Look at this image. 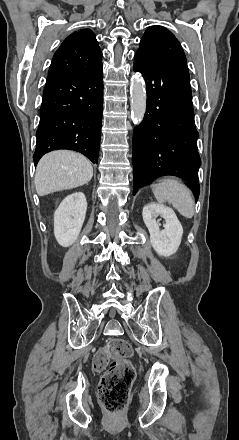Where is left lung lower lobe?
I'll return each mask as SVG.
<instances>
[{
  "label": "left lung lower lobe",
  "mask_w": 239,
  "mask_h": 440,
  "mask_svg": "<svg viewBox=\"0 0 239 440\" xmlns=\"http://www.w3.org/2000/svg\"><path fill=\"white\" fill-rule=\"evenodd\" d=\"M133 69L144 74L147 89L144 121L133 134V194L145 181L173 175L192 186L197 200L201 159L187 64L136 53Z\"/></svg>",
  "instance_id": "obj_1"
}]
</instances>
